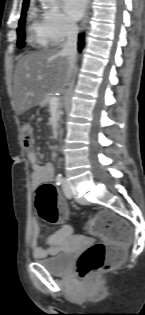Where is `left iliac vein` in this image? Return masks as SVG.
<instances>
[{"instance_id":"1","label":"left iliac vein","mask_w":145,"mask_h":315,"mask_svg":"<svg viewBox=\"0 0 145 315\" xmlns=\"http://www.w3.org/2000/svg\"><path fill=\"white\" fill-rule=\"evenodd\" d=\"M63 192L67 198H72L73 196L72 189L67 179H64L63 182Z\"/></svg>"}]
</instances>
